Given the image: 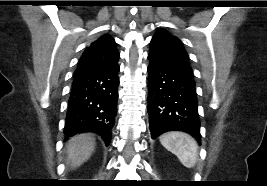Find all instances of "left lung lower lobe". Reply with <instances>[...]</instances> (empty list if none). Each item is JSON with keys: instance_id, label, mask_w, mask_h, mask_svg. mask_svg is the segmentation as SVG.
I'll return each mask as SVG.
<instances>
[{"instance_id": "1", "label": "left lung lower lobe", "mask_w": 267, "mask_h": 186, "mask_svg": "<svg viewBox=\"0 0 267 186\" xmlns=\"http://www.w3.org/2000/svg\"><path fill=\"white\" fill-rule=\"evenodd\" d=\"M148 88L154 99L148 104L152 139L167 131H184L201 141L194 78L148 55Z\"/></svg>"}]
</instances>
